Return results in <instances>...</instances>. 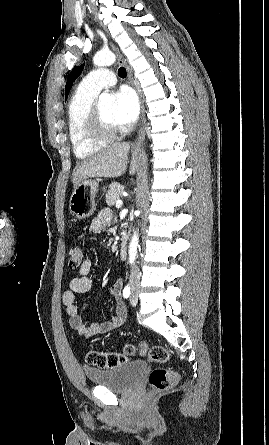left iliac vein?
Listing matches in <instances>:
<instances>
[{
  "instance_id": "4c4485c4",
  "label": "left iliac vein",
  "mask_w": 269,
  "mask_h": 445,
  "mask_svg": "<svg viewBox=\"0 0 269 445\" xmlns=\"http://www.w3.org/2000/svg\"><path fill=\"white\" fill-rule=\"evenodd\" d=\"M138 302L137 292L134 290L130 297V303L134 306Z\"/></svg>"
}]
</instances>
